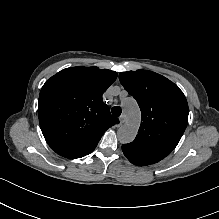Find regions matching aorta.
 Returning a JSON list of instances; mask_svg holds the SVG:
<instances>
[{
    "mask_svg": "<svg viewBox=\"0 0 219 219\" xmlns=\"http://www.w3.org/2000/svg\"><path fill=\"white\" fill-rule=\"evenodd\" d=\"M121 105L126 114V121L118 129L117 137L121 143H130L137 135L141 121V113L138 104L131 97L125 98Z\"/></svg>",
    "mask_w": 219,
    "mask_h": 219,
    "instance_id": "1",
    "label": "aorta"
}]
</instances>
